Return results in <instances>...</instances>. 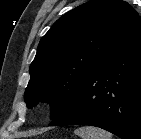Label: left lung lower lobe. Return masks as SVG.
I'll list each match as a JSON object with an SVG mask.
<instances>
[{
    "label": "left lung lower lobe",
    "instance_id": "left-lung-lower-lobe-1",
    "mask_svg": "<svg viewBox=\"0 0 141 139\" xmlns=\"http://www.w3.org/2000/svg\"><path fill=\"white\" fill-rule=\"evenodd\" d=\"M49 125H91L123 139H141V31L88 75Z\"/></svg>",
    "mask_w": 141,
    "mask_h": 139
}]
</instances>
